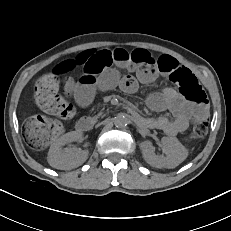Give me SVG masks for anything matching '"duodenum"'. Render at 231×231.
<instances>
[{"instance_id": "obj_1", "label": "duodenum", "mask_w": 231, "mask_h": 231, "mask_svg": "<svg viewBox=\"0 0 231 231\" xmlns=\"http://www.w3.org/2000/svg\"><path fill=\"white\" fill-rule=\"evenodd\" d=\"M131 113L133 114V116H137L135 112L131 111ZM91 126L92 122L89 118H82L77 123V130L79 132H86L91 128Z\"/></svg>"}]
</instances>
